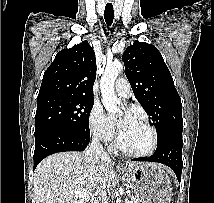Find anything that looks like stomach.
Segmentation results:
<instances>
[{
  "instance_id": "obj_1",
  "label": "stomach",
  "mask_w": 214,
  "mask_h": 203,
  "mask_svg": "<svg viewBox=\"0 0 214 203\" xmlns=\"http://www.w3.org/2000/svg\"><path fill=\"white\" fill-rule=\"evenodd\" d=\"M122 173L129 181L138 203H170L171 181L162 166L142 163Z\"/></svg>"
}]
</instances>
